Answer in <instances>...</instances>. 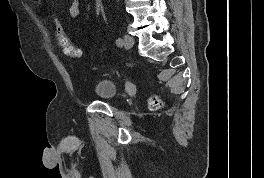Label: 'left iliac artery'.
Wrapping results in <instances>:
<instances>
[{
	"label": "left iliac artery",
	"instance_id": "1",
	"mask_svg": "<svg viewBox=\"0 0 264 178\" xmlns=\"http://www.w3.org/2000/svg\"><path fill=\"white\" fill-rule=\"evenodd\" d=\"M116 45L119 46V47H121L123 45V40L121 38H118L116 40Z\"/></svg>",
	"mask_w": 264,
	"mask_h": 178
}]
</instances>
